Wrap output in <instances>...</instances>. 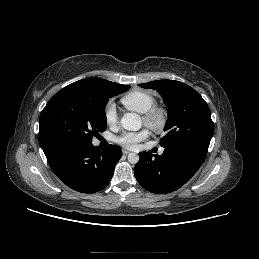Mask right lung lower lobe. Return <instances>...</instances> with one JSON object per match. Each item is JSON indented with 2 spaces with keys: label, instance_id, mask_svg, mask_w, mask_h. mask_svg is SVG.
<instances>
[{
  "label": "right lung lower lobe",
  "instance_id": "98d812e1",
  "mask_svg": "<svg viewBox=\"0 0 259 259\" xmlns=\"http://www.w3.org/2000/svg\"><path fill=\"white\" fill-rule=\"evenodd\" d=\"M53 172L70 188L95 193L110 182L122 156L119 147L103 150L92 142L60 141L43 149Z\"/></svg>",
  "mask_w": 259,
  "mask_h": 259
}]
</instances>
